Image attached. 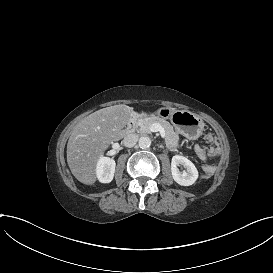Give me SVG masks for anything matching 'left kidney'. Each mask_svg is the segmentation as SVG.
Segmentation results:
<instances>
[{"label":"left kidney","instance_id":"obj_1","mask_svg":"<svg viewBox=\"0 0 273 273\" xmlns=\"http://www.w3.org/2000/svg\"><path fill=\"white\" fill-rule=\"evenodd\" d=\"M184 166L186 171L181 172L178 166ZM172 177L179 185L190 186L195 183L198 178V171L195 165L184 156L175 155L171 161Z\"/></svg>","mask_w":273,"mask_h":273}]
</instances>
